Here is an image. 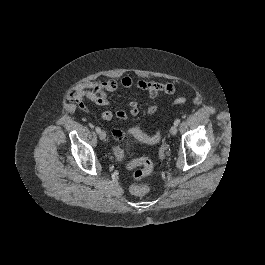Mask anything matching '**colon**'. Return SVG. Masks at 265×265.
<instances>
[{
  "instance_id": "5ec220e1",
  "label": "colon",
  "mask_w": 265,
  "mask_h": 265,
  "mask_svg": "<svg viewBox=\"0 0 265 265\" xmlns=\"http://www.w3.org/2000/svg\"><path fill=\"white\" fill-rule=\"evenodd\" d=\"M164 92L166 94H169L171 92V89L169 86H166L164 88ZM69 97L73 100L78 99V94L75 90L71 91L69 93ZM186 102L185 98H177L174 103L175 104H184ZM129 134L134 136L136 139H138L141 142L147 143V144H156L161 139V133L158 131L156 134L149 136L145 133H143L141 130L137 128H132L129 130ZM112 135L116 139H122L125 137V133L121 130H114L112 132ZM117 153L120 154L119 151ZM128 166L130 168H133V178L135 182L130 186V192L134 196H143L149 191V186L147 184H139L138 181L144 178L145 176L149 175L152 172L153 164L150 159L148 158H138L133 161H131Z\"/></svg>"
}]
</instances>
